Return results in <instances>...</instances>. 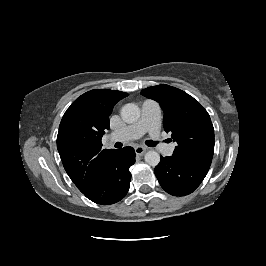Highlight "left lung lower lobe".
I'll return each instance as SVG.
<instances>
[{
  "label": "left lung lower lobe",
  "instance_id": "obj_1",
  "mask_svg": "<svg viewBox=\"0 0 266 266\" xmlns=\"http://www.w3.org/2000/svg\"><path fill=\"white\" fill-rule=\"evenodd\" d=\"M210 164L182 162L173 156L161 157L155 175L161 187L174 196L192 193L203 181Z\"/></svg>",
  "mask_w": 266,
  "mask_h": 266
}]
</instances>
